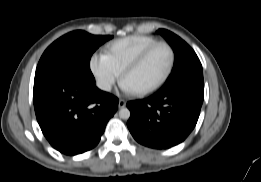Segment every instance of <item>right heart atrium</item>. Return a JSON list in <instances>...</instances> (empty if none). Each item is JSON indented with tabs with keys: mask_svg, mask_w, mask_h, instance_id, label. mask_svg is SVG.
<instances>
[{
	"mask_svg": "<svg viewBox=\"0 0 261 182\" xmlns=\"http://www.w3.org/2000/svg\"><path fill=\"white\" fill-rule=\"evenodd\" d=\"M90 69L97 86L109 92L120 80L121 73L113 66L106 54L94 53L90 59Z\"/></svg>",
	"mask_w": 261,
	"mask_h": 182,
	"instance_id": "obj_1",
	"label": "right heart atrium"
}]
</instances>
